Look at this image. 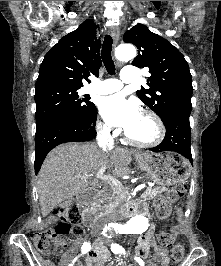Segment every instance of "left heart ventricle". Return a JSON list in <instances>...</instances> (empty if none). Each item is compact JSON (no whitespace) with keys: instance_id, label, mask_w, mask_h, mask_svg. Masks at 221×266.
<instances>
[{"instance_id":"left-heart-ventricle-1","label":"left heart ventricle","mask_w":221,"mask_h":266,"mask_svg":"<svg viewBox=\"0 0 221 266\" xmlns=\"http://www.w3.org/2000/svg\"><path fill=\"white\" fill-rule=\"evenodd\" d=\"M127 132L133 139L145 141L154 136L155 127L150 119L142 115L140 120Z\"/></svg>"}]
</instances>
